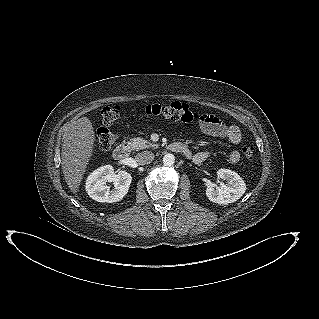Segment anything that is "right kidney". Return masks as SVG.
I'll use <instances>...</instances> for the list:
<instances>
[{"instance_id":"ca27d5eb","label":"right kidney","mask_w":319,"mask_h":319,"mask_svg":"<svg viewBox=\"0 0 319 319\" xmlns=\"http://www.w3.org/2000/svg\"><path fill=\"white\" fill-rule=\"evenodd\" d=\"M108 182L114 184V189L110 190ZM132 182L131 174L126 171L114 173L111 165H104L95 169L86 179V191L88 195L97 202L113 203L123 199L128 193Z\"/></svg>"}]
</instances>
